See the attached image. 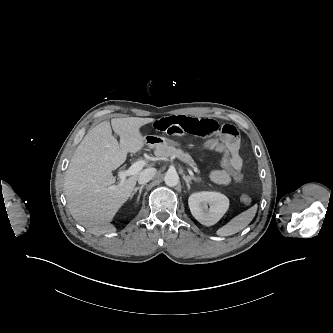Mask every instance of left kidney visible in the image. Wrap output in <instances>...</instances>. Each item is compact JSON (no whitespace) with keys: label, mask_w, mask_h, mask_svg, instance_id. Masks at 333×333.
<instances>
[{"label":"left kidney","mask_w":333,"mask_h":333,"mask_svg":"<svg viewBox=\"0 0 333 333\" xmlns=\"http://www.w3.org/2000/svg\"><path fill=\"white\" fill-rule=\"evenodd\" d=\"M194 218L205 226L216 224L229 207V199L219 192L202 191L193 193L188 199Z\"/></svg>","instance_id":"obj_1"}]
</instances>
